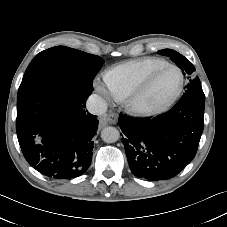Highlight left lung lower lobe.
I'll return each mask as SVG.
<instances>
[{
    "mask_svg": "<svg viewBox=\"0 0 227 227\" xmlns=\"http://www.w3.org/2000/svg\"><path fill=\"white\" fill-rule=\"evenodd\" d=\"M205 103L178 102L158 117L120 114L122 141L132 173L148 180L176 176L194 158L204 128Z\"/></svg>",
    "mask_w": 227,
    "mask_h": 227,
    "instance_id": "obj_1",
    "label": "left lung lower lobe"
}]
</instances>
